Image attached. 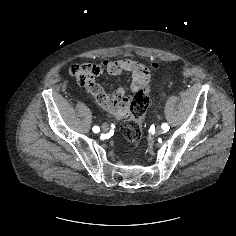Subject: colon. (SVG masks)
Returning <instances> with one entry per match:
<instances>
[{
  "label": "colon",
  "mask_w": 236,
  "mask_h": 236,
  "mask_svg": "<svg viewBox=\"0 0 236 236\" xmlns=\"http://www.w3.org/2000/svg\"><path fill=\"white\" fill-rule=\"evenodd\" d=\"M157 67L156 64H153L149 70L151 73V80L152 72ZM150 85L142 88L135 94L134 100L131 103L130 113L125 117L126 119L121 125V132L127 142L135 143L142 137V120L150 104ZM124 148L127 150L128 145L125 144Z\"/></svg>",
  "instance_id": "obj_1"
}]
</instances>
